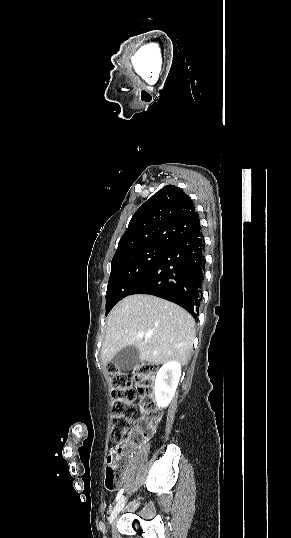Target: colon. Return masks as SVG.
I'll list each match as a JSON object with an SVG mask.
<instances>
[{
	"label": "colon",
	"mask_w": 291,
	"mask_h": 538,
	"mask_svg": "<svg viewBox=\"0 0 291 538\" xmlns=\"http://www.w3.org/2000/svg\"><path fill=\"white\" fill-rule=\"evenodd\" d=\"M108 373L112 383V420L111 440L116 444L107 458L106 486L108 489L116 487L125 471V464L121 463L122 451L118 445L127 439L135 437L138 433L149 436L161 417L153 397L156 367L148 364H138L132 373L120 370L115 364H108ZM136 389H135V387ZM137 392L141 396V403L149 416L144 426L133 430V419L136 415L134 401Z\"/></svg>",
	"instance_id": "colon-1"
}]
</instances>
